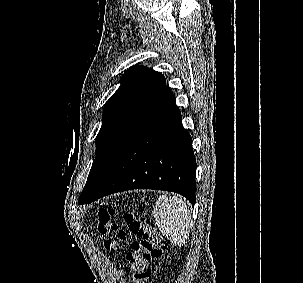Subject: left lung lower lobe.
Wrapping results in <instances>:
<instances>
[{
  "mask_svg": "<svg viewBox=\"0 0 303 283\" xmlns=\"http://www.w3.org/2000/svg\"><path fill=\"white\" fill-rule=\"evenodd\" d=\"M181 119L164 84L107 179L96 191L80 195L79 203L131 189H156L179 193L194 206L197 164Z\"/></svg>",
  "mask_w": 303,
  "mask_h": 283,
  "instance_id": "left-lung-lower-lobe-1",
  "label": "left lung lower lobe"
}]
</instances>
